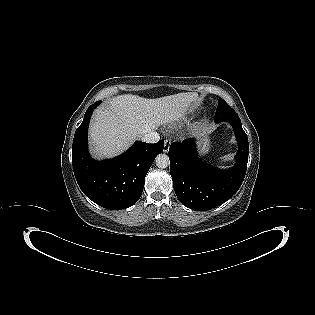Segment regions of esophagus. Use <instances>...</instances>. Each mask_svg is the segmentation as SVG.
<instances>
[{"instance_id":"1","label":"esophagus","mask_w":315,"mask_h":315,"mask_svg":"<svg viewBox=\"0 0 315 315\" xmlns=\"http://www.w3.org/2000/svg\"><path fill=\"white\" fill-rule=\"evenodd\" d=\"M170 145H171V140L166 139L164 142V152L167 153L169 151Z\"/></svg>"}]
</instances>
